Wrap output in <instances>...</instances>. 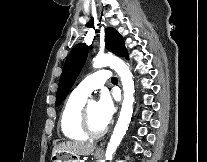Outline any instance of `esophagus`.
<instances>
[{"instance_id":"obj_1","label":"esophagus","mask_w":207,"mask_h":162,"mask_svg":"<svg viewBox=\"0 0 207 162\" xmlns=\"http://www.w3.org/2000/svg\"><path fill=\"white\" fill-rule=\"evenodd\" d=\"M104 144H105V142H103L100 146H99V148L97 149L98 151H103V149H104Z\"/></svg>"}]
</instances>
